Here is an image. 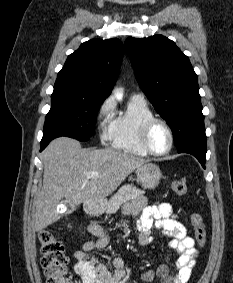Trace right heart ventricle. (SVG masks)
<instances>
[{"label": "right heart ventricle", "instance_id": "e07e8e85", "mask_svg": "<svg viewBox=\"0 0 233 283\" xmlns=\"http://www.w3.org/2000/svg\"><path fill=\"white\" fill-rule=\"evenodd\" d=\"M152 116L153 112L146 101L130 99L126 109L112 118V148L131 155L147 156L148 153L139 143L138 132L143 121Z\"/></svg>", "mask_w": 233, "mask_h": 283}]
</instances>
